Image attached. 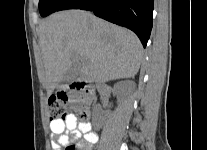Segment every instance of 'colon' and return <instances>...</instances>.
I'll list each match as a JSON object with an SVG mask.
<instances>
[{
    "label": "colon",
    "mask_w": 207,
    "mask_h": 150,
    "mask_svg": "<svg viewBox=\"0 0 207 150\" xmlns=\"http://www.w3.org/2000/svg\"><path fill=\"white\" fill-rule=\"evenodd\" d=\"M48 107L50 113V119H63L66 116V106L63 102V99L58 96H51L48 100ZM79 117L82 119L84 113H79ZM67 150H75V146L71 145Z\"/></svg>",
    "instance_id": "colon-1"
}]
</instances>
